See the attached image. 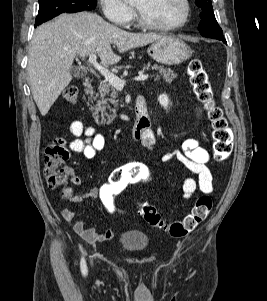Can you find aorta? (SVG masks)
<instances>
[{
	"mask_svg": "<svg viewBox=\"0 0 267 301\" xmlns=\"http://www.w3.org/2000/svg\"><path fill=\"white\" fill-rule=\"evenodd\" d=\"M125 1H127V2H130V3H131V2H134V1H136V0H125Z\"/></svg>",
	"mask_w": 267,
	"mask_h": 301,
	"instance_id": "1",
	"label": "aorta"
}]
</instances>
